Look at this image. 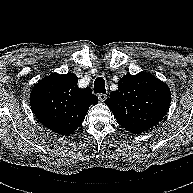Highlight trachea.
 <instances>
[{
  "label": "trachea",
  "instance_id": "obj_1",
  "mask_svg": "<svg viewBox=\"0 0 193 193\" xmlns=\"http://www.w3.org/2000/svg\"><path fill=\"white\" fill-rule=\"evenodd\" d=\"M94 93H106L105 80L102 77L96 78L94 82Z\"/></svg>",
  "mask_w": 193,
  "mask_h": 193
}]
</instances>
